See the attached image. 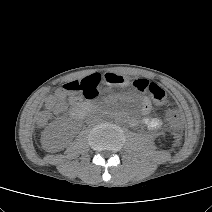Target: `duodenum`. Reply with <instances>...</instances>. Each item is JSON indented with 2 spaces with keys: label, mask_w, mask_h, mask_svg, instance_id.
Masks as SVG:
<instances>
[{
  "label": "duodenum",
  "mask_w": 212,
  "mask_h": 212,
  "mask_svg": "<svg viewBox=\"0 0 212 212\" xmlns=\"http://www.w3.org/2000/svg\"><path fill=\"white\" fill-rule=\"evenodd\" d=\"M94 104L92 103H79L73 106L72 116L76 120L83 118L88 112L94 109Z\"/></svg>",
  "instance_id": "1"
}]
</instances>
